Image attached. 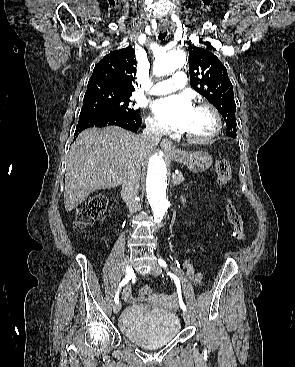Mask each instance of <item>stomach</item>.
Instances as JSON below:
<instances>
[{"mask_svg": "<svg viewBox=\"0 0 295 367\" xmlns=\"http://www.w3.org/2000/svg\"><path fill=\"white\" fill-rule=\"evenodd\" d=\"M170 158L186 167L194 173H201L209 169L212 165V157L204 151H183L175 150L170 154Z\"/></svg>", "mask_w": 295, "mask_h": 367, "instance_id": "1", "label": "stomach"}]
</instances>
